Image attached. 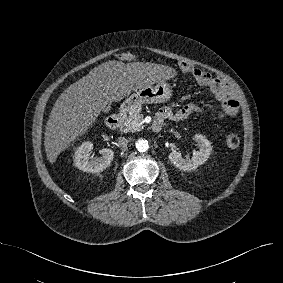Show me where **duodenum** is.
Here are the masks:
<instances>
[{
  "mask_svg": "<svg viewBox=\"0 0 283 283\" xmlns=\"http://www.w3.org/2000/svg\"><path fill=\"white\" fill-rule=\"evenodd\" d=\"M123 119V110L118 111L117 113L109 116L107 118L106 124L110 129H116L120 126ZM162 119L156 116L155 120L152 123V129L154 131H160L162 128Z\"/></svg>",
  "mask_w": 283,
  "mask_h": 283,
  "instance_id": "1",
  "label": "duodenum"
}]
</instances>
